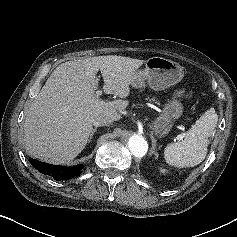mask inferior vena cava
I'll return each mask as SVG.
<instances>
[{
  "instance_id": "inferior-vena-cava-1",
  "label": "inferior vena cava",
  "mask_w": 237,
  "mask_h": 237,
  "mask_svg": "<svg viewBox=\"0 0 237 237\" xmlns=\"http://www.w3.org/2000/svg\"><path fill=\"white\" fill-rule=\"evenodd\" d=\"M114 122V119L108 116H98L93 120V125L98 126H108Z\"/></svg>"
}]
</instances>
